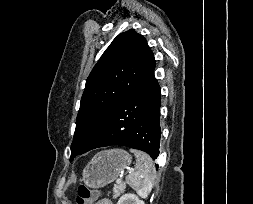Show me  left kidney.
<instances>
[{"mask_svg": "<svg viewBox=\"0 0 253 204\" xmlns=\"http://www.w3.org/2000/svg\"><path fill=\"white\" fill-rule=\"evenodd\" d=\"M117 204H145L135 194L127 193L120 197Z\"/></svg>", "mask_w": 253, "mask_h": 204, "instance_id": "left-kidney-1", "label": "left kidney"}]
</instances>
